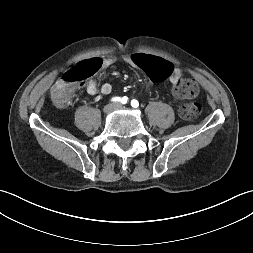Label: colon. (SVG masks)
I'll use <instances>...</instances> for the list:
<instances>
[{
	"label": "colon",
	"instance_id": "5ec220e1",
	"mask_svg": "<svg viewBox=\"0 0 253 253\" xmlns=\"http://www.w3.org/2000/svg\"><path fill=\"white\" fill-rule=\"evenodd\" d=\"M134 62L140 69H145L149 77L159 80L171 73L172 66L162 61L158 55L139 52L134 55ZM101 62L93 58L67 70L63 77L52 88V97L59 106H66L71 100L72 86L98 72ZM174 93L181 98H192L198 93L197 84L191 79H180L174 86ZM201 112V105L197 102L187 103L180 107L179 114L185 120H193Z\"/></svg>",
	"mask_w": 253,
	"mask_h": 253
}]
</instances>
